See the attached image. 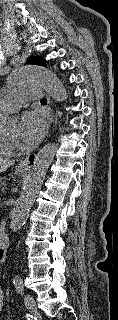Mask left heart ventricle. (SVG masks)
Masks as SVG:
<instances>
[{
    "mask_svg": "<svg viewBox=\"0 0 118 320\" xmlns=\"http://www.w3.org/2000/svg\"><path fill=\"white\" fill-rule=\"evenodd\" d=\"M16 135H17V130H14V131H12V132H10V133L8 134V136H9L10 138H15Z\"/></svg>",
    "mask_w": 118,
    "mask_h": 320,
    "instance_id": "b2bd125f",
    "label": "left heart ventricle"
}]
</instances>
